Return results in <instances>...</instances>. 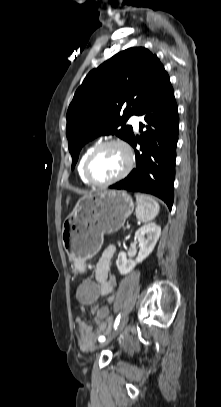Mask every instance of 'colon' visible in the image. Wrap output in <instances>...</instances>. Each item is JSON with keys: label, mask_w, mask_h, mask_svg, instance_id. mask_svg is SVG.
Listing matches in <instances>:
<instances>
[{"label": "colon", "mask_w": 221, "mask_h": 407, "mask_svg": "<svg viewBox=\"0 0 221 407\" xmlns=\"http://www.w3.org/2000/svg\"><path fill=\"white\" fill-rule=\"evenodd\" d=\"M100 283H97L96 277H83L82 283L75 284V300L78 306H96L97 300H100ZM109 306L101 305L99 311L95 312L97 320H104L109 317Z\"/></svg>", "instance_id": "5ec220e1"}]
</instances>
